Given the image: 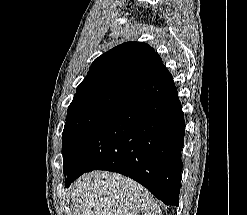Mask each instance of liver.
Here are the masks:
<instances>
[{"instance_id":"6515ba94","label":"liver","mask_w":247,"mask_h":215,"mask_svg":"<svg viewBox=\"0 0 247 215\" xmlns=\"http://www.w3.org/2000/svg\"><path fill=\"white\" fill-rule=\"evenodd\" d=\"M78 215H162L143 186L119 174L94 171L70 186Z\"/></svg>"}]
</instances>
